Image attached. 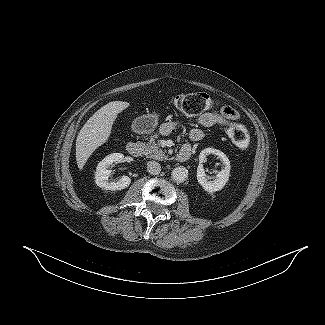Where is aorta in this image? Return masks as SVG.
Returning <instances> with one entry per match:
<instances>
[{
	"instance_id": "aorta-1",
	"label": "aorta",
	"mask_w": 325,
	"mask_h": 325,
	"mask_svg": "<svg viewBox=\"0 0 325 325\" xmlns=\"http://www.w3.org/2000/svg\"><path fill=\"white\" fill-rule=\"evenodd\" d=\"M188 177V170L183 167L179 166L172 170L171 172V179L177 183L184 182Z\"/></svg>"
}]
</instances>
